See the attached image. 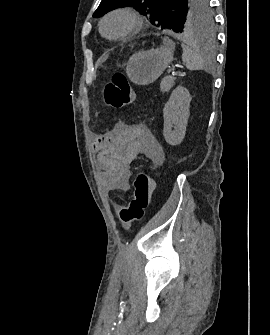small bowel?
Listing matches in <instances>:
<instances>
[{"label":"small bowel","instance_id":"small-bowel-1","mask_svg":"<svg viewBox=\"0 0 270 335\" xmlns=\"http://www.w3.org/2000/svg\"><path fill=\"white\" fill-rule=\"evenodd\" d=\"M92 147L98 153L99 179L111 190L130 189L131 163L138 155H145L156 165L165 159L161 145L142 123L120 122L111 132L96 135Z\"/></svg>","mask_w":270,"mask_h":335}]
</instances>
